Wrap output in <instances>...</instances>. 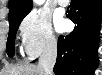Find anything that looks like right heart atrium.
I'll use <instances>...</instances> for the list:
<instances>
[{
	"label": "right heart atrium",
	"instance_id": "d8ad5b80",
	"mask_svg": "<svg viewBox=\"0 0 102 75\" xmlns=\"http://www.w3.org/2000/svg\"><path fill=\"white\" fill-rule=\"evenodd\" d=\"M19 37L26 58L34 59L56 48L57 40L51 21L38 11L28 13L19 25Z\"/></svg>",
	"mask_w": 102,
	"mask_h": 75
}]
</instances>
